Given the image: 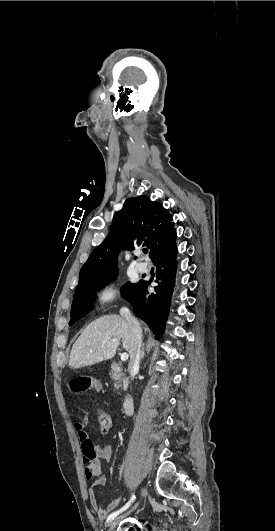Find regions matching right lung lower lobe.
<instances>
[{"mask_svg": "<svg viewBox=\"0 0 275 531\" xmlns=\"http://www.w3.org/2000/svg\"><path fill=\"white\" fill-rule=\"evenodd\" d=\"M176 237L174 229L167 240L150 256L156 266L155 292L148 291L150 282L141 280L133 286L126 297V300L132 304L135 315L145 321L159 337L164 331L175 285Z\"/></svg>", "mask_w": 275, "mask_h": 531, "instance_id": "98d812e1", "label": "right lung lower lobe"}]
</instances>
